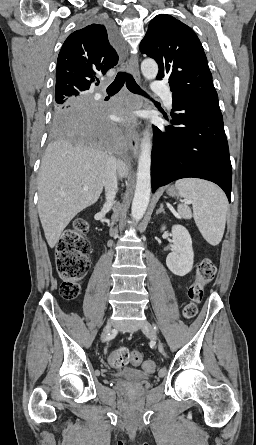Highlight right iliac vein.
Masks as SVG:
<instances>
[{
  "label": "right iliac vein",
  "mask_w": 256,
  "mask_h": 445,
  "mask_svg": "<svg viewBox=\"0 0 256 445\" xmlns=\"http://www.w3.org/2000/svg\"><path fill=\"white\" fill-rule=\"evenodd\" d=\"M112 322L111 320H108L105 327L103 328L101 339H105L107 335L111 332Z\"/></svg>",
  "instance_id": "1"
}]
</instances>
